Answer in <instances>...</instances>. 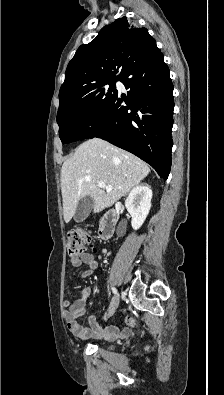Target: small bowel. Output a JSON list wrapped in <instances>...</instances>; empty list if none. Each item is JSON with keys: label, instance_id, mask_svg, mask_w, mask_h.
<instances>
[{"label": "small bowel", "instance_id": "obj_1", "mask_svg": "<svg viewBox=\"0 0 224 395\" xmlns=\"http://www.w3.org/2000/svg\"><path fill=\"white\" fill-rule=\"evenodd\" d=\"M84 263L88 269L81 274V278H86L94 274L98 268V261L91 253H83L77 261H73L74 267H80ZM91 296V288L85 287L80 291V297L74 302L64 301L65 307L64 319L69 331L80 339L105 337L107 339H115L125 337L129 334L127 328H121L116 325H107L102 327L94 315L89 316L88 326H83L80 319L86 312L87 303Z\"/></svg>", "mask_w": 224, "mask_h": 395}]
</instances>
